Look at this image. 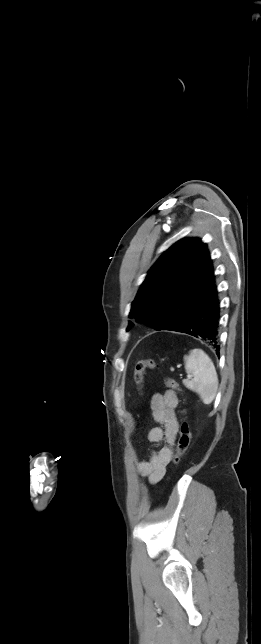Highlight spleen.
I'll return each mask as SVG.
<instances>
[{
  "label": "spleen",
  "mask_w": 261,
  "mask_h": 644,
  "mask_svg": "<svg viewBox=\"0 0 261 644\" xmlns=\"http://www.w3.org/2000/svg\"><path fill=\"white\" fill-rule=\"evenodd\" d=\"M185 369L192 374V379L183 380V384L196 392L204 404H210L217 393L218 376L209 356L201 349H193L184 357Z\"/></svg>",
  "instance_id": "obj_1"
}]
</instances>
